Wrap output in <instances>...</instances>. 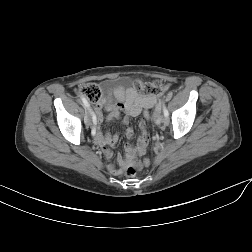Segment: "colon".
Returning a JSON list of instances; mask_svg holds the SVG:
<instances>
[{"label":"colon","mask_w":252,"mask_h":252,"mask_svg":"<svg viewBox=\"0 0 252 252\" xmlns=\"http://www.w3.org/2000/svg\"><path fill=\"white\" fill-rule=\"evenodd\" d=\"M134 88L138 93L149 96L161 94L166 89V86L161 81H156L154 83L147 84L138 80L135 81ZM79 93L83 98H85L91 103H98L101 99V90L96 84L93 83L82 85L79 88ZM144 116L147 120H149V112H146ZM139 169V164L129 165L125 170V175L129 178H132L136 176Z\"/></svg>","instance_id":"obj_1"}]
</instances>
